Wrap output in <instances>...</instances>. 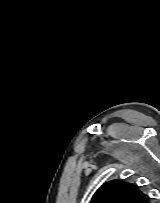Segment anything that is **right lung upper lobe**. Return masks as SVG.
<instances>
[{"label": "right lung upper lobe", "instance_id": "cb5924a9", "mask_svg": "<svg viewBox=\"0 0 160 203\" xmlns=\"http://www.w3.org/2000/svg\"><path fill=\"white\" fill-rule=\"evenodd\" d=\"M91 203H147V201L135 185L113 180L97 190Z\"/></svg>", "mask_w": 160, "mask_h": 203}]
</instances>
